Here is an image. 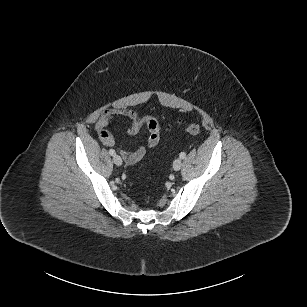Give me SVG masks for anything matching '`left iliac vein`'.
<instances>
[{"label":"left iliac vein","instance_id":"1","mask_svg":"<svg viewBox=\"0 0 307 307\" xmlns=\"http://www.w3.org/2000/svg\"><path fill=\"white\" fill-rule=\"evenodd\" d=\"M182 166V160L180 158H177L174 162H173V169L175 171H178L181 169Z\"/></svg>","mask_w":307,"mask_h":307}]
</instances>
